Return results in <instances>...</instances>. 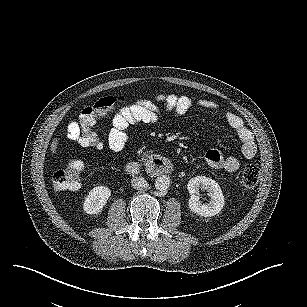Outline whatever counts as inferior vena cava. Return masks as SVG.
I'll return each instance as SVG.
<instances>
[{
  "instance_id": "602c4592",
  "label": "inferior vena cava",
  "mask_w": 307,
  "mask_h": 307,
  "mask_svg": "<svg viewBox=\"0 0 307 307\" xmlns=\"http://www.w3.org/2000/svg\"><path fill=\"white\" fill-rule=\"evenodd\" d=\"M131 185L134 189L142 190L148 187V181L142 176L132 178Z\"/></svg>"
}]
</instances>
